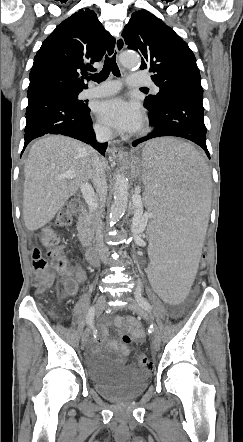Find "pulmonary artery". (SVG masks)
<instances>
[{"mask_svg":"<svg viewBox=\"0 0 243 442\" xmlns=\"http://www.w3.org/2000/svg\"><path fill=\"white\" fill-rule=\"evenodd\" d=\"M130 86H150L153 92H158V87L148 78L140 73H131L128 81ZM119 83L116 81H107L99 86L85 89L81 96L83 99L100 98L111 95L118 91Z\"/></svg>","mask_w":243,"mask_h":442,"instance_id":"obj_1","label":"pulmonary artery"}]
</instances>
